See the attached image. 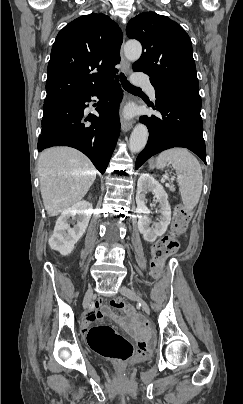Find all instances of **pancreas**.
I'll use <instances>...</instances> for the list:
<instances>
[{"mask_svg":"<svg viewBox=\"0 0 243 404\" xmlns=\"http://www.w3.org/2000/svg\"><path fill=\"white\" fill-rule=\"evenodd\" d=\"M169 190L170 192H176V188H174V186H170Z\"/></svg>","mask_w":243,"mask_h":404,"instance_id":"cf45deb5","label":"pancreas"}]
</instances>
